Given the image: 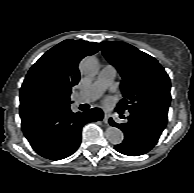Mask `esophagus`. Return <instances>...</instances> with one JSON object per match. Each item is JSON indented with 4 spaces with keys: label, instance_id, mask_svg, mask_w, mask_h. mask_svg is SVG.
<instances>
[{
    "label": "esophagus",
    "instance_id": "obj_1",
    "mask_svg": "<svg viewBox=\"0 0 194 193\" xmlns=\"http://www.w3.org/2000/svg\"><path fill=\"white\" fill-rule=\"evenodd\" d=\"M103 122L106 124H108V122H109V114H107L106 112L104 113Z\"/></svg>",
    "mask_w": 194,
    "mask_h": 193
}]
</instances>
